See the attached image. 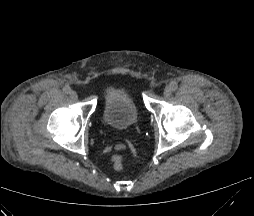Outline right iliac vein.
<instances>
[{"label": "right iliac vein", "mask_w": 254, "mask_h": 216, "mask_svg": "<svg viewBox=\"0 0 254 216\" xmlns=\"http://www.w3.org/2000/svg\"><path fill=\"white\" fill-rule=\"evenodd\" d=\"M70 96H71L72 99H76L77 96H78V94H77L76 91H72V92L70 93Z\"/></svg>", "instance_id": "63e3f726"}]
</instances>
